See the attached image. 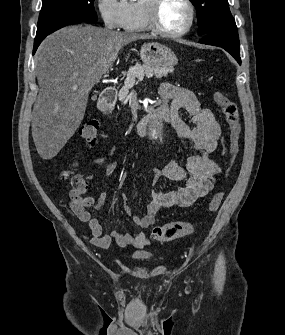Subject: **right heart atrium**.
<instances>
[{"label":"right heart atrium","mask_w":285,"mask_h":335,"mask_svg":"<svg viewBox=\"0 0 285 335\" xmlns=\"http://www.w3.org/2000/svg\"><path fill=\"white\" fill-rule=\"evenodd\" d=\"M99 10L105 27L120 29L127 19V6L123 1H100Z\"/></svg>","instance_id":"1"}]
</instances>
